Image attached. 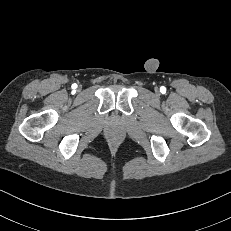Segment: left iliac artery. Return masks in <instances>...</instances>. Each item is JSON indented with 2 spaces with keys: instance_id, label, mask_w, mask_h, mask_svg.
I'll use <instances>...</instances> for the list:
<instances>
[{
  "instance_id": "1",
  "label": "left iliac artery",
  "mask_w": 231,
  "mask_h": 231,
  "mask_svg": "<svg viewBox=\"0 0 231 231\" xmlns=\"http://www.w3.org/2000/svg\"><path fill=\"white\" fill-rule=\"evenodd\" d=\"M160 91H161L162 93H165V92H166V88H165L164 86H162V87L160 88Z\"/></svg>"
}]
</instances>
